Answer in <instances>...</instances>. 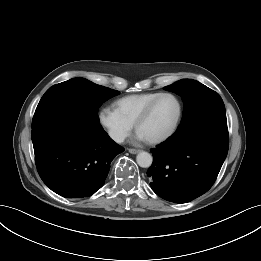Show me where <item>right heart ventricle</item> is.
<instances>
[{
	"label": "right heart ventricle",
	"mask_w": 261,
	"mask_h": 261,
	"mask_svg": "<svg viewBox=\"0 0 261 261\" xmlns=\"http://www.w3.org/2000/svg\"><path fill=\"white\" fill-rule=\"evenodd\" d=\"M159 94V92H148L127 95L114 101L113 107L123 118L134 124L145 106Z\"/></svg>",
	"instance_id": "obj_1"
}]
</instances>
